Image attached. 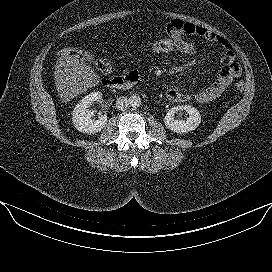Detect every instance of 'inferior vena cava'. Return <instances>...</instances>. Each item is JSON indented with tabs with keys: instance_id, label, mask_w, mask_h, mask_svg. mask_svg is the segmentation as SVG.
Masks as SVG:
<instances>
[{
	"instance_id": "obj_1",
	"label": "inferior vena cava",
	"mask_w": 272,
	"mask_h": 272,
	"mask_svg": "<svg viewBox=\"0 0 272 272\" xmlns=\"http://www.w3.org/2000/svg\"><path fill=\"white\" fill-rule=\"evenodd\" d=\"M130 101L127 97L121 96L116 100V108L121 111H125L129 108Z\"/></svg>"
}]
</instances>
